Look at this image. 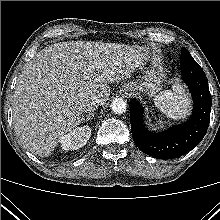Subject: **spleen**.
Listing matches in <instances>:
<instances>
[{"label":"spleen","mask_w":220,"mask_h":220,"mask_svg":"<svg viewBox=\"0 0 220 220\" xmlns=\"http://www.w3.org/2000/svg\"><path fill=\"white\" fill-rule=\"evenodd\" d=\"M155 106L173 120L186 118L190 112L191 101L182 85L174 84L172 90L160 92L154 99Z\"/></svg>","instance_id":"obj_1"}]
</instances>
